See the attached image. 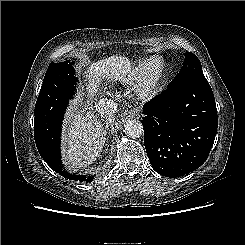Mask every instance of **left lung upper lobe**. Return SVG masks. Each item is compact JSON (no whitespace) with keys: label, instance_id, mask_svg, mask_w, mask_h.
<instances>
[{"label":"left lung upper lobe","instance_id":"left-lung-upper-lobe-1","mask_svg":"<svg viewBox=\"0 0 245 245\" xmlns=\"http://www.w3.org/2000/svg\"><path fill=\"white\" fill-rule=\"evenodd\" d=\"M184 63L169 86H175L195 77L204 76L199 59L191 52L184 53Z\"/></svg>","mask_w":245,"mask_h":245}]
</instances>
